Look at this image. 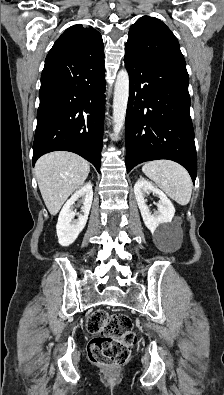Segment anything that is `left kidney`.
Instances as JSON below:
<instances>
[{"label":"left kidney","instance_id":"obj_1","mask_svg":"<svg viewBox=\"0 0 224 395\" xmlns=\"http://www.w3.org/2000/svg\"><path fill=\"white\" fill-rule=\"evenodd\" d=\"M153 193L159 197L157 204L158 211L151 214L146 204V194ZM134 194L138 207L140 209L145 226L156 236L165 238L169 234L168 224L172 222L175 214V208L171 200L151 182L144 178H140L134 185Z\"/></svg>","mask_w":224,"mask_h":395}]
</instances>
